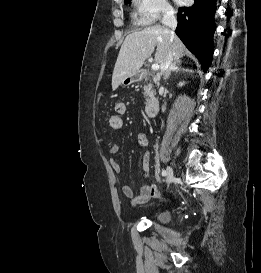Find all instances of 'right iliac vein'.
Returning <instances> with one entry per match:
<instances>
[{"label":"right iliac vein","instance_id":"obj_1","mask_svg":"<svg viewBox=\"0 0 261 273\" xmlns=\"http://www.w3.org/2000/svg\"><path fill=\"white\" fill-rule=\"evenodd\" d=\"M173 176H174L173 169L171 167H168L167 171H166V183H167V185H169L172 182Z\"/></svg>","mask_w":261,"mask_h":273}]
</instances>
